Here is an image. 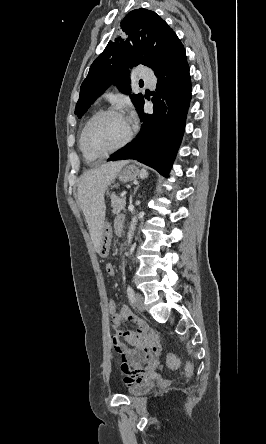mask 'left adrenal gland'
<instances>
[{"label":"left adrenal gland","mask_w":266,"mask_h":444,"mask_svg":"<svg viewBox=\"0 0 266 444\" xmlns=\"http://www.w3.org/2000/svg\"><path fill=\"white\" fill-rule=\"evenodd\" d=\"M138 187H139V186H137V187L135 188V190H134V194L136 193V191H137Z\"/></svg>","instance_id":"obj_1"}]
</instances>
